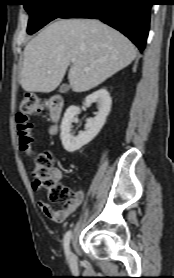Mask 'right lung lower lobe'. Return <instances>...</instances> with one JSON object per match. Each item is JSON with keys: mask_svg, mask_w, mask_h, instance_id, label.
<instances>
[{"mask_svg": "<svg viewBox=\"0 0 174 278\" xmlns=\"http://www.w3.org/2000/svg\"><path fill=\"white\" fill-rule=\"evenodd\" d=\"M152 0H78L60 18H95L126 35L143 51Z\"/></svg>", "mask_w": 174, "mask_h": 278, "instance_id": "1", "label": "right lung lower lobe"}]
</instances>
